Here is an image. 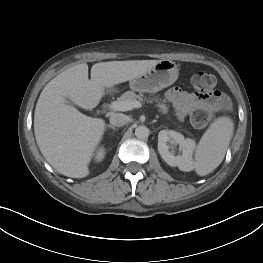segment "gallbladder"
Listing matches in <instances>:
<instances>
[{"mask_svg":"<svg viewBox=\"0 0 263 263\" xmlns=\"http://www.w3.org/2000/svg\"><path fill=\"white\" fill-rule=\"evenodd\" d=\"M65 102H66V104L71 105V106L75 105L74 102L72 100H70L69 98H65Z\"/></svg>","mask_w":263,"mask_h":263,"instance_id":"bac80fb5","label":"gallbladder"}]
</instances>
